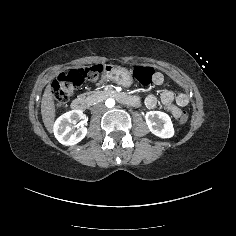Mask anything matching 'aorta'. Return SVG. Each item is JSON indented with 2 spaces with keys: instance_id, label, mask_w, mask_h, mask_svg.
I'll return each instance as SVG.
<instances>
[{
  "instance_id": "1",
  "label": "aorta",
  "mask_w": 236,
  "mask_h": 236,
  "mask_svg": "<svg viewBox=\"0 0 236 236\" xmlns=\"http://www.w3.org/2000/svg\"><path fill=\"white\" fill-rule=\"evenodd\" d=\"M115 105V101L113 99H107L105 102V106L107 108H113Z\"/></svg>"
}]
</instances>
